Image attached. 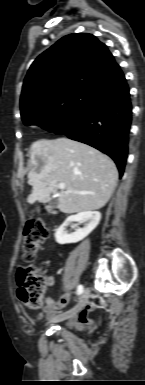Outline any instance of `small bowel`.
Here are the masks:
<instances>
[{
    "label": "small bowel",
    "mask_w": 145,
    "mask_h": 385,
    "mask_svg": "<svg viewBox=\"0 0 145 385\" xmlns=\"http://www.w3.org/2000/svg\"><path fill=\"white\" fill-rule=\"evenodd\" d=\"M49 280V287L53 286L54 278L47 276ZM70 301V293L63 294L58 300H53L50 297L45 298V305L40 317L46 316L47 318L54 319L60 315V309L65 307ZM95 302L85 305L76 315L70 317L68 324L77 330L84 328L91 329L97 325V321L90 318L89 314L96 308Z\"/></svg>",
    "instance_id": "small-bowel-1"
}]
</instances>
